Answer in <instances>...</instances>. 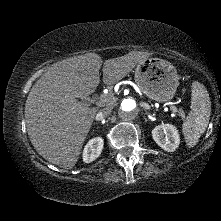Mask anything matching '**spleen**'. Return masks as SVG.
<instances>
[{"mask_svg": "<svg viewBox=\"0 0 221 221\" xmlns=\"http://www.w3.org/2000/svg\"><path fill=\"white\" fill-rule=\"evenodd\" d=\"M191 112L182 124V132L188 147H194L205 132L211 113V102L203 84L192 83Z\"/></svg>", "mask_w": 221, "mask_h": 221, "instance_id": "obj_1", "label": "spleen"}]
</instances>
